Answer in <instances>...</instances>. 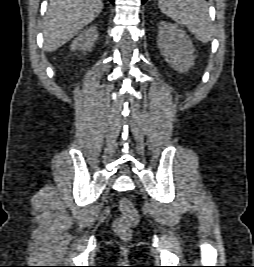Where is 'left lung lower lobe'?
<instances>
[{
	"label": "left lung lower lobe",
	"mask_w": 254,
	"mask_h": 267,
	"mask_svg": "<svg viewBox=\"0 0 254 267\" xmlns=\"http://www.w3.org/2000/svg\"><path fill=\"white\" fill-rule=\"evenodd\" d=\"M147 0H142V3L144 4Z\"/></svg>",
	"instance_id": "0a47b994"
}]
</instances>
